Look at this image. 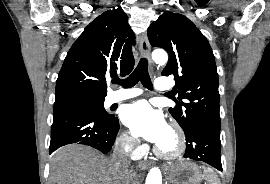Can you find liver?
I'll use <instances>...</instances> for the list:
<instances>
[{
	"mask_svg": "<svg viewBox=\"0 0 270 184\" xmlns=\"http://www.w3.org/2000/svg\"><path fill=\"white\" fill-rule=\"evenodd\" d=\"M126 174L98 151L71 144L54 153L50 184H121Z\"/></svg>",
	"mask_w": 270,
	"mask_h": 184,
	"instance_id": "1",
	"label": "liver"
}]
</instances>
